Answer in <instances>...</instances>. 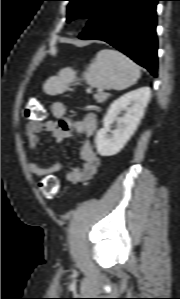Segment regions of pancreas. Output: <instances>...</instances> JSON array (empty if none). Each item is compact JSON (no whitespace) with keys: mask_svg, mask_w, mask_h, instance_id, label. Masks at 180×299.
Wrapping results in <instances>:
<instances>
[{"mask_svg":"<svg viewBox=\"0 0 180 299\" xmlns=\"http://www.w3.org/2000/svg\"><path fill=\"white\" fill-rule=\"evenodd\" d=\"M109 97L108 93H104V92H99L95 95V98L97 99V101L102 102L104 100H106Z\"/></svg>","mask_w":180,"mask_h":299,"instance_id":"1","label":"pancreas"}]
</instances>
